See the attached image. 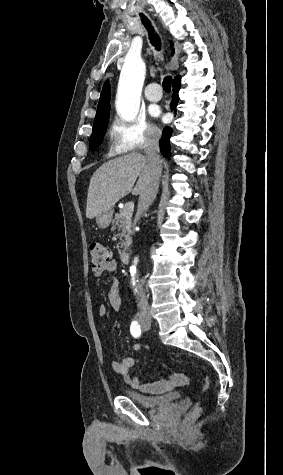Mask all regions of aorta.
Returning <instances> with one entry per match:
<instances>
[{
  "label": "aorta",
  "mask_w": 283,
  "mask_h": 475,
  "mask_svg": "<svg viewBox=\"0 0 283 475\" xmlns=\"http://www.w3.org/2000/svg\"><path fill=\"white\" fill-rule=\"evenodd\" d=\"M145 71V64L141 59L128 58L125 60L116 96L117 113L125 121L134 120L138 114ZM137 262L138 258L136 257L130 267L132 277L136 273Z\"/></svg>",
  "instance_id": "obj_1"
}]
</instances>
